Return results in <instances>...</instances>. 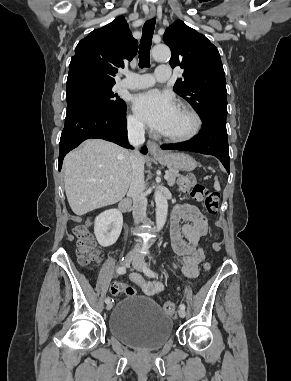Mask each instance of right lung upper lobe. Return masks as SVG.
Masks as SVG:
<instances>
[{"mask_svg": "<svg viewBox=\"0 0 291 381\" xmlns=\"http://www.w3.org/2000/svg\"><path fill=\"white\" fill-rule=\"evenodd\" d=\"M137 44L125 19L118 17L78 43L67 79L83 77L115 84V73L124 67V60H132L136 55Z\"/></svg>", "mask_w": 291, "mask_h": 381, "instance_id": "cb5924a9", "label": "right lung upper lobe"}]
</instances>
